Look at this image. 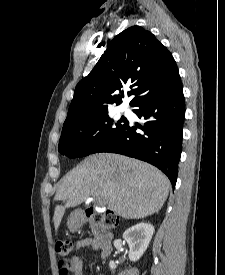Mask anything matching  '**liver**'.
Wrapping results in <instances>:
<instances>
[{
    "instance_id": "liver-1",
    "label": "liver",
    "mask_w": 225,
    "mask_h": 275,
    "mask_svg": "<svg viewBox=\"0 0 225 275\" xmlns=\"http://www.w3.org/2000/svg\"><path fill=\"white\" fill-rule=\"evenodd\" d=\"M169 179L154 166L119 154L99 153L85 158L58 185L54 227L60 226L65 210L88 198L126 219H141L158 212L169 193Z\"/></svg>"
}]
</instances>
